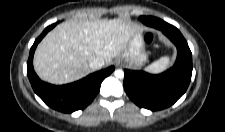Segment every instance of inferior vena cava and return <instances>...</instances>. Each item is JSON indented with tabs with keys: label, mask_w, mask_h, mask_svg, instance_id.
I'll return each instance as SVG.
<instances>
[{
	"label": "inferior vena cava",
	"mask_w": 225,
	"mask_h": 132,
	"mask_svg": "<svg viewBox=\"0 0 225 132\" xmlns=\"http://www.w3.org/2000/svg\"><path fill=\"white\" fill-rule=\"evenodd\" d=\"M104 64H105V62L102 58H95L90 62L89 66L91 69L97 70V69H100L101 67H103Z\"/></svg>",
	"instance_id": "602c4592"
}]
</instances>
